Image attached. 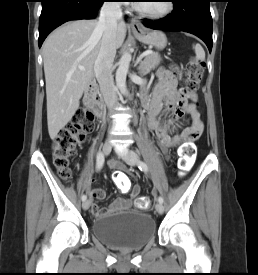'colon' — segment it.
I'll return each mask as SVG.
<instances>
[{
	"mask_svg": "<svg viewBox=\"0 0 258 275\" xmlns=\"http://www.w3.org/2000/svg\"><path fill=\"white\" fill-rule=\"evenodd\" d=\"M203 74L202 63L192 58L186 66V70L182 75V90L190 94H194L198 83ZM94 128V117L92 112L86 109L79 110L70 123L62 128L56 135L52 151L55 166L59 170V174L63 179H70L72 171L70 168V160L76 150V147L84 139L85 133L90 132ZM194 158V146L191 142L183 144L179 153V169L180 172H186L192 165ZM113 181L116 187L122 192H128L131 184L128 176L124 172H114ZM150 201L146 197L137 200V206L140 209H147Z\"/></svg>",
	"mask_w": 258,
	"mask_h": 275,
	"instance_id": "5ec220e1",
	"label": "colon"
}]
</instances>
